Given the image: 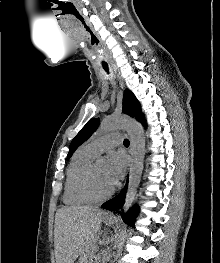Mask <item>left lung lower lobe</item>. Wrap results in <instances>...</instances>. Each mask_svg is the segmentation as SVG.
I'll use <instances>...</instances> for the list:
<instances>
[{
	"label": "left lung lower lobe",
	"instance_id": "1",
	"mask_svg": "<svg viewBox=\"0 0 220 263\" xmlns=\"http://www.w3.org/2000/svg\"><path fill=\"white\" fill-rule=\"evenodd\" d=\"M126 188L127 186L124 187L122 193L119 195V196H116L114 197L113 199L105 202L102 207L104 209H107V210H111V211H114L117 209L118 206L122 207L123 203H124V199H125V195H126ZM139 212V209L137 207H134L132 208L128 213L127 215H123L122 214V217H123V220L128 224V225H131V226H134V221H135V218L137 216Z\"/></svg>",
	"mask_w": 220,
	"mask_h": 263
}]
</instances>
